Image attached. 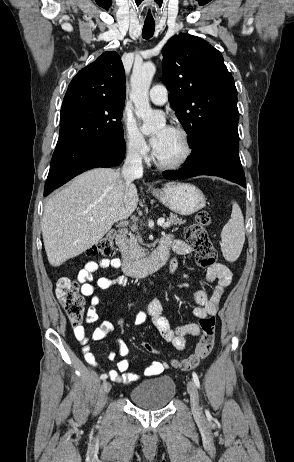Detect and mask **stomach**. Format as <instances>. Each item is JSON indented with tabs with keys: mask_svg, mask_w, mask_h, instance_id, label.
Masks as SVG:
<instances>
[{
	"mask_svg": "<svg viewBox=\"0 0 294 462\" xmlns=\"http://www.w3.org/2000/svg\"><path fill=\"white\" fill-rule=\"evenodd\" d=\"M171 211L180 215H191L205 207V196L200 189L188 183H173L153 191Z\"/></svg>",
	"mask_w": 294,
	"mask_h": 462,
	"instance_id": "0dacf381",
	"label": "stomach"
}]
</instances>
